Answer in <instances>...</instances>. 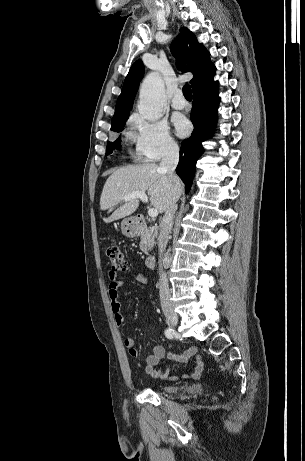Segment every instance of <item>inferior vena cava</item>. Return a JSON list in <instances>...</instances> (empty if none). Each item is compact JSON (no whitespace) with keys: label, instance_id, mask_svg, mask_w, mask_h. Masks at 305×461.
<instances>
[{"label":"inferior vena cava","instance_id":"602c4592","mask_svg":"<svg viewBox=\"0 0 305 461\" xmlns=\"http://www.w3.org/2000/svg\"><path fill=\"white\" fill-rule=\"evenodd\" d=\"M179 162V147L176 143H168L163 151L162 159L159 165V170L167 175L168 181L172 182L174 179V171ZM179 196L174 195L171 199L170 206L165 211L164 217L160 224V232L158 236V248H159V267H160V281H159V295L161 301V307L163 310L172 307L171 293L169 290V284L167 275L162 270V260L164 251L168 243V237L172 230L174 214L177 210V201Z\"/></svg>","mask_w":305,"mask_h":461}]
</instances>
